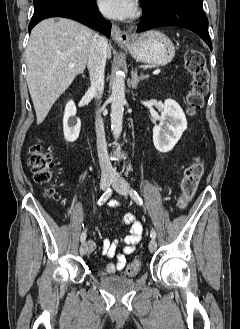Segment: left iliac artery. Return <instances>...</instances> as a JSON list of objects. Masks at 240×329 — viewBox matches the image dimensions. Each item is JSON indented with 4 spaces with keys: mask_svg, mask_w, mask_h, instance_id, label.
Listing matches in <instances>:
<instances>
[{
    "mask_svg": "<svg viewBox=\"0 0 240 329\" xmlns=\"http://www.w3.org/2000/svg\"><path fill=\"white\" fill-rule=\"evenodd\" d=\"M130 195L135 200V202L137 204H139V205H142L143 204L142 199L140 198V196L137 194V192L134 189H131L130 190ZM150 237L152 239H155L156 238V232H155L154 229L151 230Z\"/></svg>",
    "mask_w": 240,
    "mask_h": 329,
    "instance_id": "obj_1",
    "label": "left iliac artery"
}]
</instances>
